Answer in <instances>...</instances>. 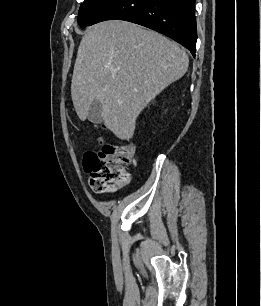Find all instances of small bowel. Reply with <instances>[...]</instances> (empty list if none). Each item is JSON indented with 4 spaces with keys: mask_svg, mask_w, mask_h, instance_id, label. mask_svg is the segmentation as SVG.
Here are the masks:
<instances>
[{
    "mask_svg": "<svg viewBox=\"0 0 261 306\" xmlns=\"http://www.w3.org/2000/svg\"><path fill=\"white\" fill-rule=\"evenodd\" d=\"M115 189H116V187L109 189V191H112V190H115Z\"/></svg>",
    "mask_w": 261,
    "mask_h": 306,
    "instance_id": "1",
    "label": "small bowel"
}]
</instances>
